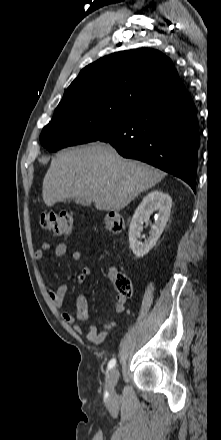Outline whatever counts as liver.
<instances>
[{"label": "liver", "mask_w": 221, "mask_h": 440, "mask_svg": "<svg viewBox=\"0 0 221 440\" xmlns=\"http://www.w3.org/2000/svg\"><path fill=\"white\" fill-rule=\"evenodd\" d=\"M165 173L138 161L123 159L105 143L60 152L43 179L44 203L89 200L100 211H119L159 183Z\"/></svg>", "instance_id": "1"}]
</instances>
